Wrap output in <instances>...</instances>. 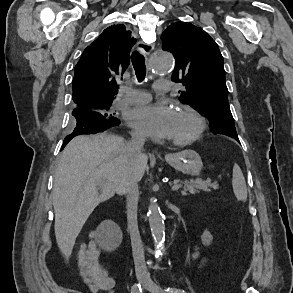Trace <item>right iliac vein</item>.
<instances>
[{"mask_svg": "<svg viewBox=\"0 0 293 293\" xmlns=\"http://www.w3.org/2000/svg\"><path fill=\"white\" fill-rule=\"evenodd\" d=\"M138 280L144 286L145 276H143L142 274H139L138 275Z\"/></svg>", "mask_w": 293, "mask_h": 293, "instance_id": "obj_1", "label": "right iliac vein"}]
</instances>
